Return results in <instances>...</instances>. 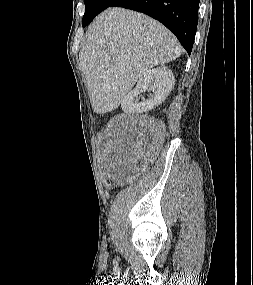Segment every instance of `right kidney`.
<instances>
[{"mask_svg": "<svg viewBox=\"0 0 253 285\" xmlns=\"http://www.w3.org/2000/svg\"><path fill=\"white\" fill-rule=\"evenodd\" d=\"M175 85L172 71L166 66L148 70L137 82L122 102V108L127 113L138 114L150 111L164 102ZM150 88L153 94L145 101L135 102V97Z\"/></svg>", "mask_w": 253, "mask_h": 285, "instance_id": "obj_1", "label": "right kidney"}]
</instances>
